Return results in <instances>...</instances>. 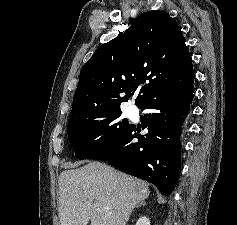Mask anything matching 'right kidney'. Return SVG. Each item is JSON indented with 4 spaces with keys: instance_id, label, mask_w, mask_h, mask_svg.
<instances>
[{
    "instance_id": "right-kidney-1",
    "label": "right kidney",
    "mask_w": 237,
    "mask_h": 225,
    "mask_svg": "<svg viewBox=\"0 0 237 225\" xmlns=\"http://www.w3.org/2000/svg\"><path fill=\"white\" fill-rule=\"evenodd\" d=\"M136 225H150V220L147 217H140Z\"/></svg>"
}]
</instances>
